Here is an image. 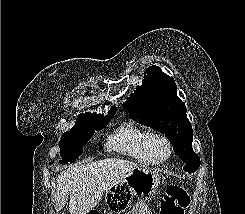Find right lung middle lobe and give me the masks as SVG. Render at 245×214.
<instances>
[{
    "label": "right lung middle lobe",
    "instance_id": "obj_1",
    "mask_svg": "<svg viewBox=\"0 0 245 214\" xmlns=\"http://www.w3.org/2000/svg\"><path fill=\"white\" fill-rule=\"evenodd\" d=\"M112 116L113 113L106 117L103 115L78 116L76 125L64 133L59 142L60 154L63 158L60 164L72 163L78 159L83 151V146L90 140L95 131L103 129L109 123Z\"/></svg>",
    "mask_w": 245,
    "mask_h": 214
}]
</instances>
